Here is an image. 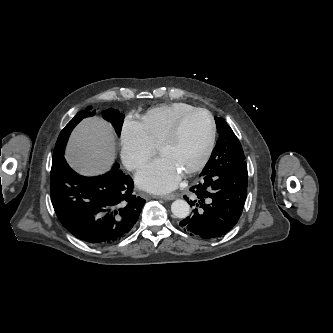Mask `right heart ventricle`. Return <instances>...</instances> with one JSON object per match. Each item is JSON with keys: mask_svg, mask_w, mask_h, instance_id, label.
Returning a JSON list of instances; mask_svg holds the SVG:
<instances>
[{"mask_svg": "<svg viewBox=\"0 0 333 333\" xmlns=\"http://www.w3.org/2000/svg\"><path fill=\"white\" fill-rule=\"evenodd\" d=\"M195 108L184 102H174L149 109L141 116L144 126L151 141L158 145L174 121L184 112Z\"/></svg>", "mask_w": 333, "mask_h": 333, "instance_id": "1", "label": "right heart ventricle"}]
</instances>
